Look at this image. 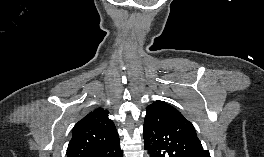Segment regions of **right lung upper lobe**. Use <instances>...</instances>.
I'll use <instances>...</instances> for the list:
<instances>
[{
	"instance_id": "cb5924a9",
	"label": "right lung upper lobe",
	"mask_w": 264,
	"mask_h": 157,
	"mask_svg": "<svg viewBox=\"0 0 264 157\" xmlns=\"http://www.w3.org/2000/svg\"><path fill=\"white\" fill-rule=\"evenodd\" d=\"M67 157H94L119 142L108 111L97 108L82 118L72 130Z\"/></svg>"
}]
</instances>
